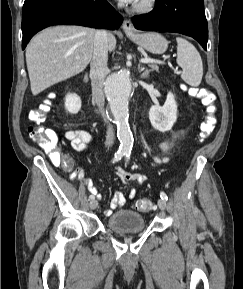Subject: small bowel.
I'll use <instances>...</instances> for the list:
<instances>
[{"label":"small bowel","instance_id":"small-bowel-1","mask_svg":"<svg viewBox=\"0 0 243 289\" xmlns=\"http://www.w3.org/2000/svg\"><path fill=\"white\" fill-rule=\"evenodd\" d=\"M64 137L67 139L72 148L77 151H88L91 149V145L94 143V138L91 134L84 130L80 129H69L64 132ZM170 147L169 141H163L160 145V148L163 151H167ZM167 160L166 157L160 158L159 156L154 157L155 163L165 162ZM116 175L119 177L121 181L124 183L134 182L136 185H141L145 182L146 177L141 173H132L123 168L116 169ZM72 178H78L79 180L84 181L88 184L89 190L92 194L96 195L98 199L102 196L100 194L99 189L94 187L89 179L84 178L83 173L80 170H76L72 174ZM136 195L135 188H132L126 197L122 192H116L110 202V209L106 210L105 215L109 216L112 211L120 209L125 206L127 203V199H133Z\"/></svg>","mask_w":243,"mask_h":289}]
</instances>
